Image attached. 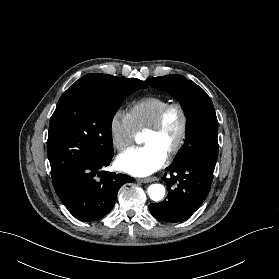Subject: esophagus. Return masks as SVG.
Returning <instances> with one entry per match:
<instances>
[{
  "label": "esophagus",
  "mask_w": 279,
  "mask_h": 279,
  "mask_svg": "<svg viewBox=\"0 0 279 279\" xmlns=\"http://www.w3.org/2000/svg\"><path fill=\"white\" fill-rule=\"evenodd\" d=\"M156 180V177L138 178L137 181L141 183H148Z\"/></svg>",
  "instance_id": "obj_1"
}]
</instances>
